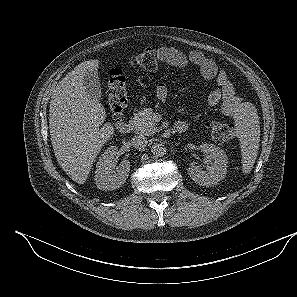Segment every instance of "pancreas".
Listing matches in <instances>:
<instances>
[{
  "mask_svg": "<svg viewBox=\"0 0 297 297\" xmlns=\"http://www.w3.org/2000/svg\"><path fill=\"white\" fill-rule=\"evenodd\" d=\"M131 124L137 134L152 135L158 131L153 121V112L151 109L140 110L134 114Z\"/></svg>",
  "mask_w": 297,
  "mask_h": 297,
  "instance_id": "obj_1",
  "label": "pancreas"
}]
</instances>
